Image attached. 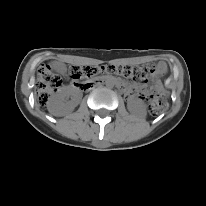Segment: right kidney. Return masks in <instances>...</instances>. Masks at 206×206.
I'll use <instances>...</instances> for the list:
<instances>
[{
  "label": "right kidney",
  "instance_id": "ca27d5eb",
  "mask_svg": "<svg viewBox=\"0 0 206 206\" xmlns=\"http://www.w3.org/2000/svg\"><path fill=\"white\" fill-rule=\"evenodd\" d=\"M73 96L71 101L67 99ZM80 100V95L70 89H63L55 94L49 101L48 111L54 115L62 116L68 112H71Z\"/></svg>",
  "mask_w": 206,
  "mask_h": 206
}]
</instances>
